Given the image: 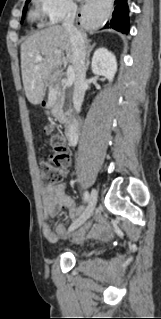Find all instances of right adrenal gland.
<instances>
[{
  "label": "right adrenal gland",
  "instance_id": "2a0ac1e0",
  "mask_svg": "<svg viewBox=\"0 0 161 319\" xmlns=\"http://www.w3.org/2000/svg\"><path fill=\"white\" fill-rule=\"evenodd\" d=\"M96 46V44H88L87 45V57H86V70H88L89 65H90V61H89V57H90V53L92 52V50L94 49V47Z\"/></svg>",
  "mask_w": 161,
  "mask_h": 319
}]
</instances>
